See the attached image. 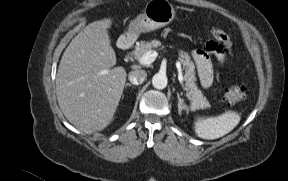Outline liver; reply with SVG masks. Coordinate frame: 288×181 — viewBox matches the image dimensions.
<instances>
[{
  "mask_svg": "<svg viewBox=\"0 0 288 181\" xmlns=\"http://www.w3.org/2000/svg\"><path fill=\"white\" fill-rule=\"evenodd\" d=\"M111 23L106 18L88 24L65 49L57 71L60 109L86 134L111 123L126 82V70L114 67L116 55L107 31Z\"/></svg>",
  "mask_w": 288,
  "mask_h": 181,
  "instance_id": "obj_1",
  "label": "liver"
}]
</instances>
